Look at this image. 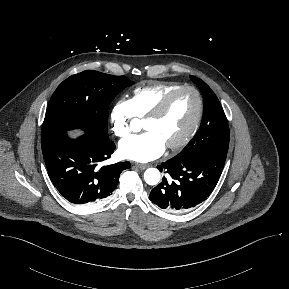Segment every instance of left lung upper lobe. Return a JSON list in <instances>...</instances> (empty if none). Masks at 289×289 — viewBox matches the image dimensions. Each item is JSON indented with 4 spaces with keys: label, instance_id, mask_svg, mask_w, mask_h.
Masks as SVG:
<instances>
[{
    "label": "left lung upper lobe",
    "instance_id": "5c2ea615",
    "mask_svg": "<svg viewBox=\"0 0 289 289\" xmlns=\"http://www.w3.org/2000/svg\"><path fill=\"white\" fill-rule=\"evenodd\" d=\"M190 78L203 94V119L196 135L174 158L182 160L203 151L228 152L229 127L218 98L201 79Z\"/></svg>",
    "mask_w": 289,
    "mask_h": 289
}]
</instances>
